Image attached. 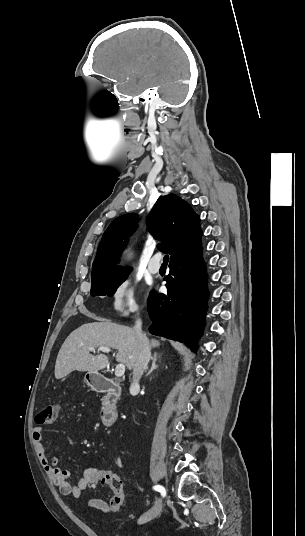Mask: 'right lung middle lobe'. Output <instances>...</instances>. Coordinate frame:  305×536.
I'll return each instance as SVG.
<instances>
[{"label": "right lung middle lobe", "mask_w": 305, "mask_h": 536, "mask_svg": "<svg viewBox=\"0 0 305 536\" xmlns=\"http://www.w3.org/2000/svg\"><path fill=\"white\" fill-rule=\"evenodd\" d=\"M130 272L106 279L93 280L91 287L92 296H112L116 289L127 279Z\"/></svg>", "instance_id": "1"}]
</instances>
